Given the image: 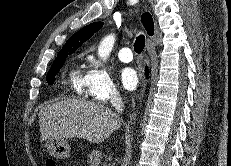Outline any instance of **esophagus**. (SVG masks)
<instances>
[{
    "label": "esophagus",
    "instance_id": "obj_1",
    "mask_svg": "<svg viewBox=\"0 0 231 166\" xmlns=\"http://www.w3.org/2000/svg\"><path fill=\"white\" fill-rule=\"evenodd\" d=\"M145 86H146V82L143 81V84H142L143 89L145 88ZM137 111H138V110H136V111L132 114V116H131V119H130V123H131V124L134 123V121H135V119H136Z\"/></svg>",
    "mask_w": 231,
    "mask_h": 166
}]
</instances>
